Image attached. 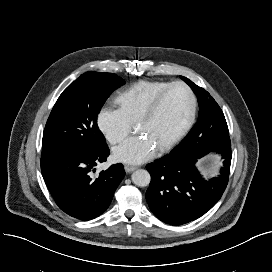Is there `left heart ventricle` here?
<instances>
[{
    "mask_svg": "<svg viewBox=\"0 0 272 272\" xmlns=\"http://www.w3.org/2000/svg\"><path fill=\"white\" fill-rule=\"evenodd\" d=\"M188 111L189 98L186 91L175 87L167 93L156 114L138 126V131L158 148L180 129Z\"/></svg>",
    "mask_w": 272,
    "mask_h": 272,
    "instance_id": "left-heart-ventricle-1",
    "label": "left heart ventricle"
}]
</instances>
